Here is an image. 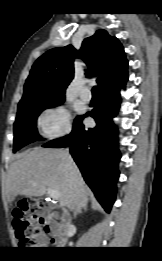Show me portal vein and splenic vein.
<instances>
[{"label":"portal vein and splenic vein","mask_w":162,"mask_h":261,"mask_svg":"<svg viewBox=\"0 0 162 261\" xmlns=\"http://www.w3.org/2000/svg\"><path fill=\"white\" fill-rule=\"evenodd\" d=\"M31 184H32L33 186L36 185L35 182H31ZM46 192H47L48 196H49L50 198H52L53 200H58V199H59L60 194H59V192H58L57 190H54V189H52V188H47Z\"/></svg>","instance_id":"18ae733b"}]
</instances>
